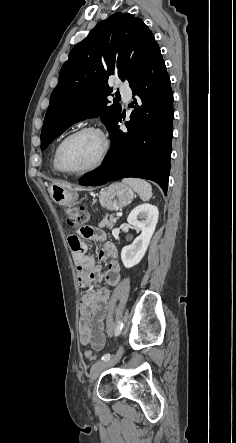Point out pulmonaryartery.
<instances>
[{
	"label": "pulmonary artery",
	"instance_id": "1",
	"mask_svg": "<svg viewBox=\"0 0 236 443\" xmlns=\"http://www.w3.org/2000/svg\"><path fill=\"white\" fill-rule=\"evenodd\" d=\"M124 95H125L127 98H130L131 93H130V92H126Z\"/></svg>",
	"mask_w": 236,
	"mask_h": 443
}]
</instances>
